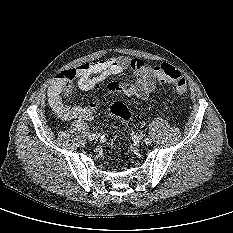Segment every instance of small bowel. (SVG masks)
Returning <instances> with one entry per match:
<instances>
[{"mask_svg":"<svg viewBox=\"0 0 233 233\" xmlns=\"http://www.w3.org/2000/svg\"><path fill=\"white\" fill-rule=\"evenodd\" d=\"M155 66L149 65L139 58L129 56H117L91 63H83L76 68L63 72L50 86L48 90L49 104L63 121L74 119L89 121L94 117L99 100H93L88 106L65 104L62 100V93L63 85L68 79H75L78 88L86 91L94 88L110 76L131 69L136 77L135 83L112 82L107 86V93H123L127 96L146 99L156 85Z\"/></svg>","mask_w":233,"mask_h":233,"instance_id":"c3829d8e","label":"small bowel"}]
</instances>
